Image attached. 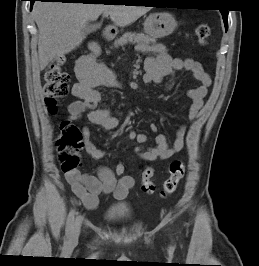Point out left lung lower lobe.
<instances>
[{"label":"left lung lower lobe","mask_w":259,"mask_h":266,"mask_svg":"<svg viewBox=\"0 0 259 266\" xmlns=\"http://www.w3.org/2000/svg\"><path fill=\"white\" fill-rule=\"evenodd\" d=\"M222 12L225 29L228 28V10H220Z\"/></svg>","instance_id":"1"}]
</instances>
